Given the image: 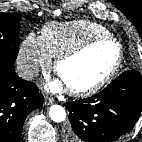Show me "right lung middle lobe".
Wrapping results in <instances>:
<instances>
[{"label":"right lung middle lobe","mask_w":142,"mask_h":142,"mask_svg":"<svg viewBox=\"0 0 142 142\" xmlns=\"http://www.w3.org/2000/svg\"><path fill=\"white\" fill-rule=\"evenodd\" d=\"M21 16L0 13V64L14 67L19 51V29Z\"/></svg>","instance_id":"right-lung-middle-lobe-1"}]
</instances>
